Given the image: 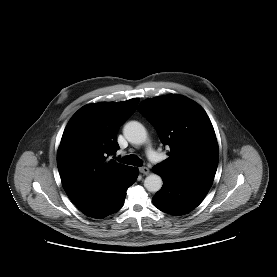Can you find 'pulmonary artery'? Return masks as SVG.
I'll use <instances>...</instances> for the list:
<instances>
[{"label": "pulmonary artery", "instance_id": "e3ab8cb5", "mask_svg": "<svg viewBox=\"0 0 277 277\" xmlns=\"http://www.w3.org/2000/svg\"><path fill=\"white\" fill-rule=\"evenodd\" d=\"M147 155L152 161L158 160V154L151 147L148 148Z\"/></svg>", "mask_w": 277, "mask_h": 277}]
</instances>
